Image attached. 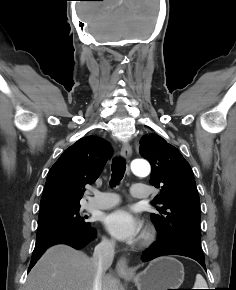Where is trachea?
Returning a JSON list of instances; mask_svg holds the SVG:
<instances>
[{
	"instance_id": "trachea-1",
	"label": "trachea",
	"mask_w": 236,
	"mask_h": 290,
	"mask_svg": "<svg viewBox=\"0 0 236 290\" xmlns=\"http://www.w3.org/2000/svg\"><path fill=\"white\" fill-rule=\"evenodd\" d=\"M111 168H112V175H111L110 185L115 187L123 179V176L126 170V162L121 157L114 158L112 161Z\"/></svg>"
}]
</instances>
